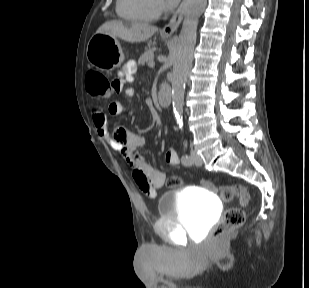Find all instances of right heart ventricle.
<instances>
[{
	"label": "right heart ventricle",
	"instance_id": "1",
	"mask_svg": "<svg viewBox=\"0 0 309 288\" xmlns=\"http://www.w3.org/2000/svg\"><path fill=\"white\" fill-rule=\"evenodd\" d=\"M116 10L131 22H151L159 15L156 0H116Z\"/></svg>",
	"mask_w": 309,
	"mask_h": 288
}]
</instances>
